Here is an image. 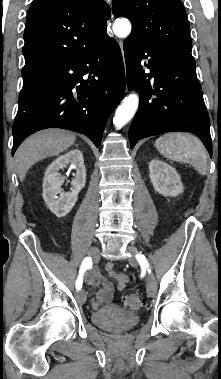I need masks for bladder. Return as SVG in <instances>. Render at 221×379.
Segmentation results:
<instances>
[{
  "label": "bladder",
  "mask_w": 221,
  "mask_h": 379,
  "mask_svg": "<svg viewBox=\"0 0 221 379\" xmlns=\"http://www.w3.org/2000/svg\"><path fill=\"white\" fill-rule=\"evenodd\" d=\"M92 321L98 327L110 331H124L135 326L140 316L135 312L124 311L115 307H105L92 314Z\"/></svg>",
  "instance_id": "1"
}]
</instances>
